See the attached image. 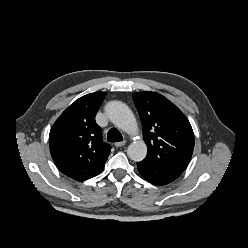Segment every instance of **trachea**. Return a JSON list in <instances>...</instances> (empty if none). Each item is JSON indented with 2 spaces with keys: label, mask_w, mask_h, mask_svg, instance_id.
<instances>
[{
  "label": "trachea",
  "mask_w": 248,
  "mask_h": 248,
  "mask_svg": "<svg viewBox=\"0 0 248 248\" xmlns=\"http://www.w3.org/2000/svg\"><path fill=\"white\" fill-rule=\"evenodd\" d=\"M107 140L109 142H120L123 140L121 133L116 128H111L107 134Z\"/></svg>",
  "instance_id": "obj_1"
}]
</instances>
